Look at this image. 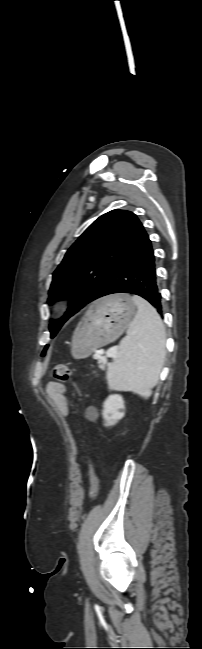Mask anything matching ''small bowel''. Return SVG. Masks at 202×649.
<instances>
[{"label":"small bowel","mask_w":202,"mask_h":649,"mask_svg":"<svg viewBox=\"0 0 202 649\" xmlns=\"http://www.w3.org/2000/svg\"><path fill=\"white\" fill-rule=\"evenodd\" d=\"M46 392L53 406L58 409L63 416H66L68 413V401L64 386L58 382H49L46 387Z\"/></svg>","instance_id":"1"}]
</instances>
